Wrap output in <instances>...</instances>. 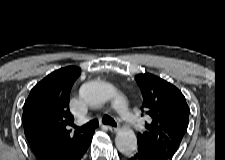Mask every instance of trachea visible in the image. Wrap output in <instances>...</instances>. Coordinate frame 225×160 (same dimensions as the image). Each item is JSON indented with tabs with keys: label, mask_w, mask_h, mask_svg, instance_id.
<instances>
[{
	"label": "trachea",
	"mask_w": 225,
	"mask_h": 160,
	"mask_svg": "<svg viewBox=\"0 0 225 160\" xmlns=\"http://www.w3.org/2000/svg\"><path fill=\"white\" fill-rule=\"evenodd\" d=\"M102 122L105 125L116 126L115 121L108 115L103 116ZM98 124H99L98 120H92V121L88 122L87 124H85L84 126H82L80 128L79 127H76V128H77V130H79L81 132H85V131L95 128L96 126H98Z\"/></svg>",
	"instance_id": "obj_1"
}]
</instances>
